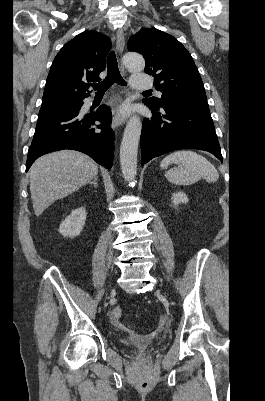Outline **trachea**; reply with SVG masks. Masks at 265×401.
<instances>
[{
  "instance_id": "trachea-1",
  "label": "trachea",
  "mask_w": 265,
  "mask_h": 401,
  "mask_svg": "<svg viewBox=\"0 0 265 401\" xmlns=\"http://www.w3.org/2000/svg\"><path fill=\"white\" fill-rule=\"evenodd\" d=\"M113 83H117L118 85L121 86H127V83L122 78L119 72L116 55L114 51H111V53L108 55L107 58V76L102 82L95 83L93 85V89L96 90L97 93L106 92L108 88H110L111 85H113ZM143 93H152V90H147L146 92Z\"/></svg>"
}]
</instances>
